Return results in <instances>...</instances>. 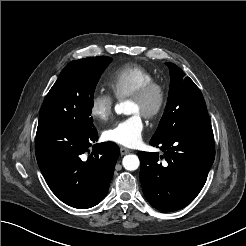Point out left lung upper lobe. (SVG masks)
<instances>
[{"mask_svg": "<svg viewBox=\"0 0 246 246\" xmlns=\"http://www.w3.org/2000/svg\"><path fill=\"white\" fill-rule=\"evenodd\" d=\"M170 70V90L164 114L152 141L161 140L175 130L210 124L206 104L200 89L173 63H166Z\"/></svg>", "mask_w": 246, "mask_h": 246, "instance_id": "left-lung-upper-lobe-1", "label": "left lung upper lobe"}]
</instances>
